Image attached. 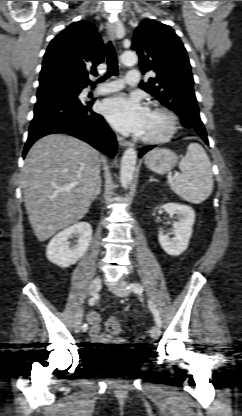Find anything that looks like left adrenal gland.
<instances>
[{
	"label": "left adrenal gland",
	"instance_id": "1",
	"mask_svg": "<svg viewBox=\"0 0 242 416\" xmlns=\"http://www.w3.org/2000/svg\"><path fill=\"white\" fill-rule=\"evenodd\" d=\"M152 181H157V180L154 179L153 176H151L150 179H149V182H152Z\"/></svg>",
	"mask_w": 242,
	"mask_h": 416
}]
</instances>
